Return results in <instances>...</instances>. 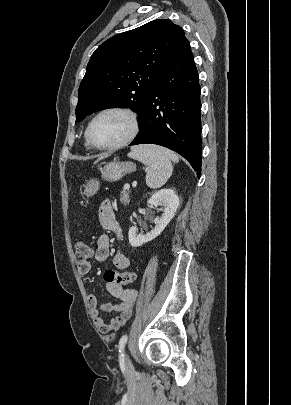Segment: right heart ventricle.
<instances>
[{
  "mask_svg": "<svg viewBox=\"0 0 291 405\" xmlns=\"http://www.w3.org/2000/svg\"><path fill=\"white\" fill-rule=\"evenodd\" d=\"M85 146H86V148H87V149L89 148V146H88L87 142L85 143Z\"/></svg>",
  "mask_w": 291,
  "mask_h": 405,
  "instance_id": "e07e8e85",
  "label": "right heart ventricle"
}]
</instances>
